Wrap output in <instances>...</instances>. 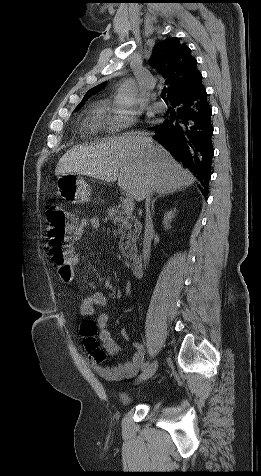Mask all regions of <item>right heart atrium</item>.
Returning a JSON list of instances; mask_svg holds the SVG:
<instances>
[{
    "instance_id": "1",
    "label": "right heart atrium",
    "mask_w": 261,
    "mask_h": 476,
    "mask_svg": "<svg viewBox=\"0 0 261 476\" xmlns=\"http://www.w3.org/2000/svg\"><path fill=\"white\" fill-rule=\"evenodd\" d=\"M107 107L111 112L108 120V130L112 133L130 128L137 120L135 110L116 107L112 104H107Z\"/></svg>"
}]
</instances>
